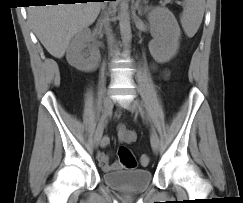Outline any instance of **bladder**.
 I'll return each instance as SVG.
<instances>
[{"label": "bladder", "mask_w": 243, "mask_h": 203, "mask_svg": "<svg viewBox=\"0 0 243 203\" xmlns=\"http://www.w3.org/2000/svg\"><path fill=\"white\" fill-rule=\"evenodd\" d=\"M102 179L106 185L122 193H138L144 191L152 182L149 169H131L105 172Z\"/></svg>", "instance_id": "1"}]
</instances>
